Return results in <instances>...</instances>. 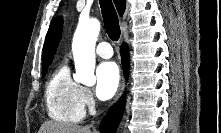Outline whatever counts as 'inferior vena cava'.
<instances>
[{"instance_id":"obj_1","label":"inferior vena cava","mask_w":221,"mask_h":133,"mask_svg":"<svg viewBox=\"0 0 221 133\" xmlns=\"http://www.w3.org/2000/svg\"><path fill=\"white\" fill-rule=\"evenodd\" d=\"M92 126H93V123H92V124H90V125H89V126H87V127H89V128H90V127H92ZM94 132L96 133V131H94Z\"/></svg>"}]
</instances>
